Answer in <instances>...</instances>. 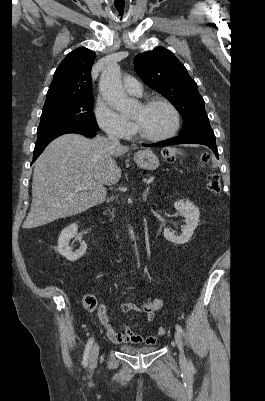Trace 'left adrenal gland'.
<instances>
[{"instance_id":"a2214340","label":"left adrenal gland","mask_w":265,"mask_h":401,"mask_svg":"<svg viewBox=\"0 0 265 401\" xmlns=\"http://www.w3.org/2000/svg\"><path fill=\"white\" fill-rule=\"evenodd\" d=\"M148 192H149V186H147V188H145L143 192V201H147Z\"/></svg>"}]
</instances>
